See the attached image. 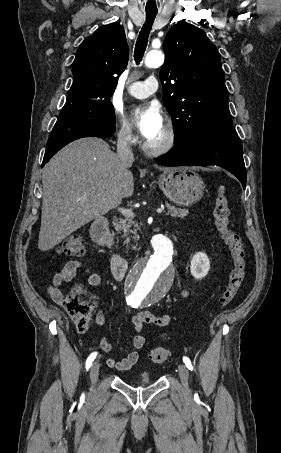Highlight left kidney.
<instances>
[{"label":"left kidney","mask_w":281,"mask_h":453,"mask_svg":"<svg viewBox=\"0 0 281 453\" xmlns=\"http://www.w3.org/2000/svg\"><path fill=\"white\" fill-rule=\"evenodd\" d=\"M209 269L210 261L207 255H205V253H195L191 261V275H193L195 279H203V277L208 275Z\"/></svg>","instance_id":"5707ae66"}]
</instances>
